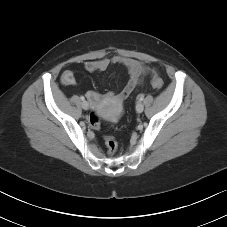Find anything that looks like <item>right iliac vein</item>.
Returning a JSON list of instances; mask_svg holds the SVG:
<instances>
[{"instance_id":"right-iliac-vein-1","label":"right iliac vein","mask_w":227,"mask_h":227,"mask_svg":"<svg viewBox=\"0 0 227 227\" xmlns=\"http://www.w3.org/2000/svg\"><path fill=\"white\" fill-rule=\"evenodd\" d=\"M82 108H83L84 110H88V108H89L88 102L83 101V102H82Z\"/></svg>"}]
</instances>
